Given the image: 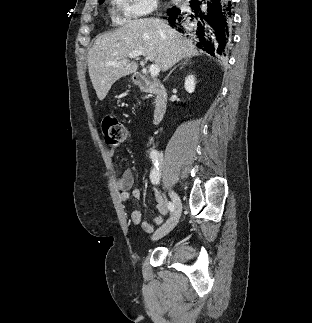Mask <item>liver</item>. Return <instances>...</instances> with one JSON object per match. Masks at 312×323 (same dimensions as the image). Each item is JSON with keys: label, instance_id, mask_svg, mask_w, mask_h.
<instances>
[{"label": "liver", "instance_id": "6515ba94", "mask_svg": "<svg viewBox=\"0 0 312 323\" xmlns=\"http://www.w3.org/2000/svg\"><path fill=\"white\" fill-rule=\"evenodd\" d=\"M135 50L144 52L147 60L154 62L162 72L170 70L184 58L204 54H199L191 40L183 38V34L163 20H132L111 34H101L88 52L89 76L98 100L106 98L119 78L137 72V62L129 60V54ZM115 60L116 64H110Z\"/></svg>", "mask_w": 312, "mask_h": 323}]
</instances>
